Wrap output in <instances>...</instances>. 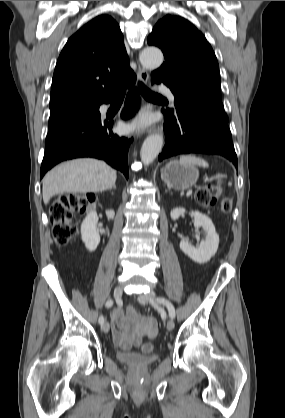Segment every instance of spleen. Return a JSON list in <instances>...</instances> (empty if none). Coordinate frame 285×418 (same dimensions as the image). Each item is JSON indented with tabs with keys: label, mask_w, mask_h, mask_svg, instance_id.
I'll list each match as a JSON object with an SVG mask.
<instances>
[{
	"label": "spleen",
	"mask_w": 285,
	"mask_h": 418,
	"mask_svg": "<svg viewBox=\"0 0 285 418\" xmlns=\"http://www.w3.org/2000/svg\"><path fill=\"white\" fill-rule=\"evenodd\" d=\"M179 162L183 165H198L204 168L209 166L206 160L191 154L181 156Z\"/></svg>",
	"instance_id": "1"
}]
</instances>
